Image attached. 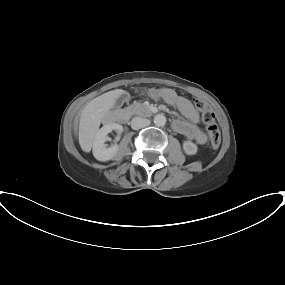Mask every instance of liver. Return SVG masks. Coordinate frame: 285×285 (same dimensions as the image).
<instances>
[{
    "label": "liver",
    "instance_id": "liver-1",
    "mask_svg": "<svg viewBox=\"0 0 285 285\" xmlns=\"http://www.w3.org/2000/svg\"><path fill=\"white\" fill-rule=\"evenodd\" d=\"M119 90L106 92L92 101L83 109L79 122V144L84 152H90L96 133L109 110L114 106Z\"/></svg>",
    "mask_w": 285,
    "mask_h": 285
}]
</instances>
